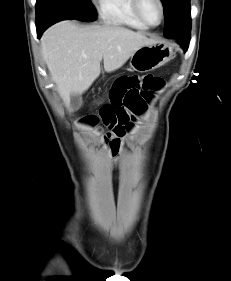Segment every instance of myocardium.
<instances>
[{"label":"myocardium","mask_w":231,"mask_h":281,"mask_svg":"<svg viewBox=\"0 0 231 281\" xmlns=\"http://www.w3.org/2000/svg\"><path fill=\"white\" fill-rule=\"evenodd\" d=\"M156 1L159 4L160 10H161V18H160V21L157 24H152L147 20V18L145 17V15L143 13L142 0H133L134 10H135L137 16L148 27L159 26L164 21V18H165V7H164L163 1L162 0H156Z\"/></svg>","instance_id":"1"}]
</instances>
